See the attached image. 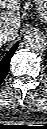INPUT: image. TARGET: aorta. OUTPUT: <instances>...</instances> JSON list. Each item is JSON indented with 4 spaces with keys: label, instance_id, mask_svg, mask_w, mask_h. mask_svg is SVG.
I'll use <instances>...</instances> for the list:
<instances>
[{
    "label": "aorta",
    "instance_id": "1",
    "mask_svg": "<svg viewBox=\"0 0 47 129\" xmlns=\"http://www.w3.org/2000/svg\"><path fill=\"white\" fill-rule=\"evenodd\" d=\"M46 45V39L38 31H31L24 36V46L30 50H40Z\"/></svg>",
    "mask_w": 47,
    "mask_h": 129
}]
</instances>
